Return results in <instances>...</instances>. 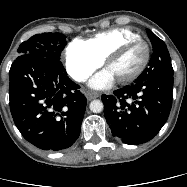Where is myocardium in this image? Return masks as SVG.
I'll return each instance as SVG.
<instances>
[{
	"label": "myocardium",
	"mask_w": 187,
	"mask_h": 187,
	"mask_svg": "<svg viewBox=\"0 0 187 187\" xmlns=\"http://www.w3.org/2000/svg\"><path fill=\"white\" fill-rule=\"evenodd\" d=\"M135 43H142L145 45V47H146L145 58H144L142 64L133 73H131L130 75H128L126 77L118 79V82H120V83L131 82V81L137 79L144 72V70L146 69V67L150 61V57H151V46H150L149 42L147 40L143 39L142 37L124 41L123 43H121L120 45L115 47L113 50H111L105 57V65L108 66V64L113 59L121 56L130 46H132Z\"/></svg>",
	"instance_id": "1"
}]
</instances>
